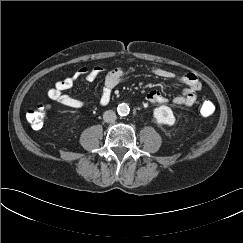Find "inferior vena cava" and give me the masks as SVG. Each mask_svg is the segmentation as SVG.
<instances>
[{
    "instance_id": "602c4592",
    "label": "inferior vena cava",
    "mask_w": 243,
    "mask_h": 243,
    "mask_svg": "<svg viewBox=\"0 0 243 243\" xmlns=\"http://www.w3.org/2000/svg\"><path fill=\"white\" fill-rule=\"evenodd\" d=\"M103 120L107 123H113L116 120V114L113 110H107L103 114Z\"/></svg>"
}]
</instances>
